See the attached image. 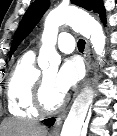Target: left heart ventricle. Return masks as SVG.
I'll list each match as a JSON object with an SVG mask.
<instances>
[{
    "mask_svg": "<svg viewBox=\"0 0 117 136\" xmlns=\"http://www.w3.org/2000/svg\"><path fill=\"white\" fill-rule=\"evenodd\" d=\"M44 79H45V88H44V101L48 107H54L56 106L62 95L57 92V90L54 87V80L56 77V71H48L44 73Z\"/></svg>",
    "mask_w": 117,
    "mask_h": 136,
    "instance_id": "1",
    "label": "left heart ventricle"
}]
</instances>
